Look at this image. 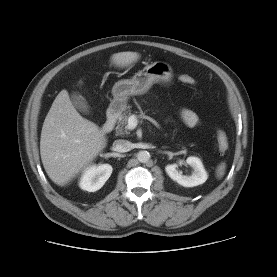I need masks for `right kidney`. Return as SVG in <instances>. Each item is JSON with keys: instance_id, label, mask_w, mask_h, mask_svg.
Returning <instances> with one entry per match:
<instances>
[{"instance_id": "1", "label": "right kidney", "mask_w": 277, "mask_h": 277, "mask_svg": "<svg viewBox=\"0 0 277 277\" xmlns=\"http://www.w3.org/2000/svg\"><path fill=\"white\" fill-rule=\"evenodd\" d=\"M112 170L113 168L109 164L88 167L80 179V188L88 192H95L101 189L111 176Z\"/></svg>"}]
</instances>
